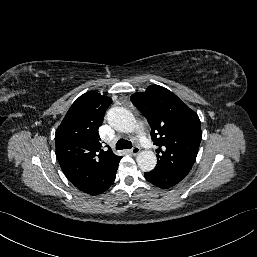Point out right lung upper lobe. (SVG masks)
I'll list each match as a JSON object with an SVG mask.
<instances>
[{
  "label": "right lung upper lobe",
  "mask_w": 257,
  "mask_h": 257,
  "mask_svg": "<svg viewBox=\"0 0 257 257\" xmlns=\"http://www.w3.org/2000/svg\"><path fill=\"white\" fill-rule=\"evenodd\" d=\"M112 99L95 91L81 95L56 130V157L79 190L99 195L114 182L120 156L104 151L98 129Z\"/></svg>",
  "instance_id": "1"
}]
</instances>
